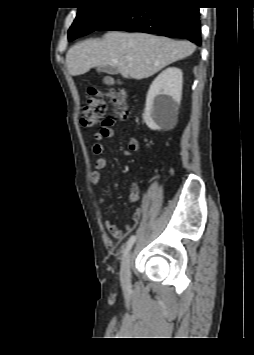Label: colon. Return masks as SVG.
Segmentation results:
<instances>
[{
  "label": "colon",
  "mask_w": 254,
  "mask_h": 355,
  "mask_svg": "<svg viewBox=\"0 0 254 355\" xmlns=\"http://www.w3.org/2000/svg\"><path fill=\"white\" fill-rule=\"evenodd\" d=\"M90 98L85 104L81 124L85 128H92L101 124L106 110V101L95 88L89 89ZM111 104L115 108V113L119 119L127 117V97L124 92H113L109 96Z\"/></svg>",
  "instance_id": "colon-1"
}]
</instances>
